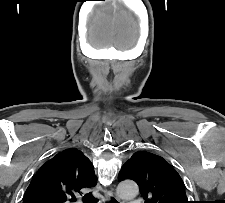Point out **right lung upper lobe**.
Here are the masks:
<instances>
[{
  "label": "right lung upper lobe",
  "instance_id": "1",
  "mask_svg": "<svg viewBox=\"0 0 225 203\" xmlns=\"http://www.w3.org/2000/svg\"><path fill=\"white\" fill-rule=\"evenodd\" d=\"M96 183L91 161L78 149H66L38 170L23 203H69L75 200L74 194Z\"/></svg>",
  "mask_w": 225,
  "mask_h": 203
}]
</instances>
